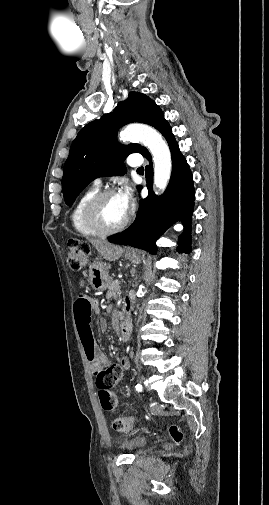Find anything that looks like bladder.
<instances>
[{
	"mask_svg": "<svg viewBox=\"0 0 269 505\" xmlns=\"http://www.w3.org/2000/svg\"><path fill=\"white\" fill-rule=\"evenodd\" d=\"M148 444L145 437H135L122 443V448L128 451H136L144 448Z\"/></svg>",
	"mask_w": 269,
	"mask_h": 505,
	"instance_id": "obj_1",
	"label": "bladder"
}]
</instances>
